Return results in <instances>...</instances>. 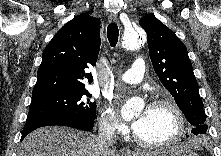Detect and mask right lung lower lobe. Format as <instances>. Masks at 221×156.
<instances>
[{
	"label": "right lung lower lobe",
	"mask_w": 221,
	"mask_h": 156,
	"mask_svg": "<svg viewBox=\"0 0 221 156\" xmlns=\"http://www.w3.org/2000/svg\"><path fill=\"white\" fill-rule=\"evenodd\" d=\"M94 119H45V120H29L26 121V124L23 129L21 140L24 139L33 130L52 125H61L73 127L85 131H90L94 127Z\"/></svg>",
	"instance_id": "obj_1"
}]
</instances>
